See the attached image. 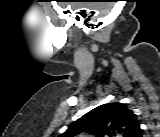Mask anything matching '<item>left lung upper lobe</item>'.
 Masks as SVG:
<instances>
[{"label": "left lung upper lobe", "instance_id": "1", "mask_svg": "<svg viewBox=\"0 0 160 137\" xmlns=\"http://www.w3.org/2000/svg\"><path fill=\"white\" fill-rule=\"evenodd\" d=\"M139 128L136 115L121 103L98 106L72 123L62 137H73L81 131L97 137H133Z\"/></svg>", "mask_w": 160, "mask_h": 137}]
</instances>
